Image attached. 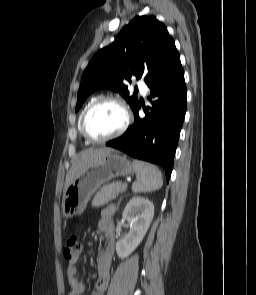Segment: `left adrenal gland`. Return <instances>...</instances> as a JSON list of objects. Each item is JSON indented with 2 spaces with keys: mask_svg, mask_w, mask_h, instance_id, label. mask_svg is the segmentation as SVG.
Returning <instances> with one entry per match:
<instances>
[{
  "mask_svg": "<svg viewBox=\"0 0 256 295\" xmlns=\"http://www.w3.org/2000/svg\"><path fill=\"white\" fill-rule=\"evenodd\" d=\"M121 200H122V197H121L120 200L118 201L117 208H119V205H120Z\"/></svg>",
  "mask_w": 256,
  "mask_h": 295,
  "instance_id": "1",
  "label": "left adrenal gland"
}]
</instances>
